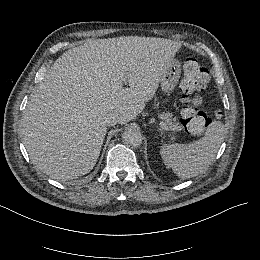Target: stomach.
I'll return each instance as SVG.
<instances>
[{
	"label": "stomach",
	"mask_w": 260,
	"mask_h": 260,
	"mask_svg": "<svg viewBox=\"0 0 260 260\" xmlns=\"http://www.w3.org/2000/svg\"><path fill=\"white\" fill-rule=\"evenodd\" d=\"M181 77V69L180 68H170L161 79V91L164 95H171Z\"/></svg>",
	"instance_id": "stomach-1"
}]
</instances>
